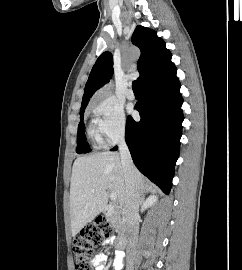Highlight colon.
Returning <instances> with one entry per match:
<instances>
[{
    "mask_svg": "<svg viewBox=\"0 0 242 270\" xmlns=\"http://www.w3.org/2000/svg\"><path fill=\"white\" fill-rule=\"evenodd\" d=\"M112 232V225L101 217L81 230L80 235L73 242V251L77 257L75 270H93L92 262L88 257L97 245L111 236Z\"/></svg>",
    "mask_w": 242,
    "mask_h": 270,
    "instance_id": "obj_1",
    "label": "colon"
}]
</instances>
